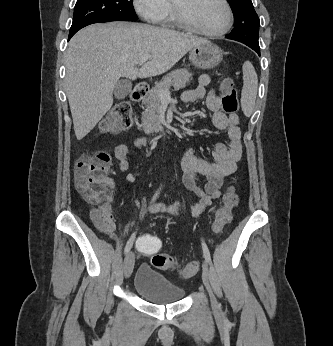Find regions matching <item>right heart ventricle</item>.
<instances>
[{
  "label": "right heart ventricle",
  "mask_w": 333,
  "mask_h": 346,
  "mask_svg": "<svg viewBox=\"0 0 333 346\" xmlns=\"http://www.w3.org/2000/svg\"><path fill=\"white\" fill-rule=\"evenodd\" d=\"M176 20H175V16L173 13V8L171 6L169 14L167 15V17L162 21V23L164 24H175Z\"/></svg>",
  "instance_id": "right-heart-ventricle-1"
}]
</instances>
